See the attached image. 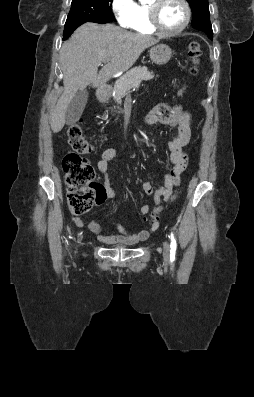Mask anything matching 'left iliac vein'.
<instances>
[{"label":"left iliac vein","instance_id":"4c4485c4","mask_svg":"<svg viewBox=\"0 0 254 397\" xmlns=\"http://www.w3.org/2000/svg\"><path fill=\"white\" fill-rule=\"evenodd\" d=\"M169 249H170L169 242L165 241L163 243V257H164L165 260H167L168 257H169Z\"/></svg>","mask_w":254,"mask_h":397}]
</instances>
